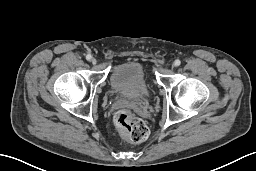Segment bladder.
<instances>
[{
    "label": "bladder",
    "mask_w": 256,
    "mask_h": 171,
    "mask_svg": "<svg viewBox=\"0 0 256 171\" xmlns=\"http://www.w3.org/2000/svg\"><path fill=\"white\" fill-rule=\"evenodd\" d=\"M110 87L116 96L136 101L146 100L150 91L144 69L138 62L115 66L110 75Z\"/></svg>",
    "instance_id": "obj_1"
}]
</instances>
